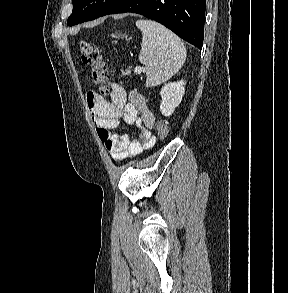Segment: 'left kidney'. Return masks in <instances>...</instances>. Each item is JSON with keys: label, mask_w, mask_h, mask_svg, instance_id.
I'll return each instance as SVG.
<instances>
[{"label": "left kidney", "mask_w": 288, "mask_h": 293, "mask_svg": "<svg viewBox=\"0 0 288 293\" xmlns=\"http://www.w3.org/2000/svg\"><path fill=\"white\" fill-rule=\"evenodd\" d=\"M184 85L185 82L181 80L179 82L167 83L162 87L160 91L162 98L160 111L164 116H170L181 103L185 92Z\"/></svg>", "instance_id": "5707ae66"}]
</instances>
